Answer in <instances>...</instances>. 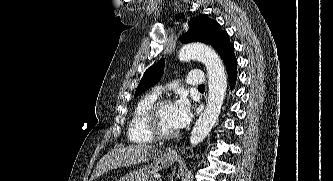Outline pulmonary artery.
<instances>
[{"mask_svg": "<svg viewBox=\"0 0 333 181\" xmlns=\"http://www.w3.org/2000/svg\"><path fill=\"white\" fill-rule=\"evenodd\" d=\"M204 74L201 71L191 72L187 76L186 83L190 86H198L201 85L204 82ZM163 88L158 87L156 89V93H161Z\"/></svg>", "mask_w": 333, "mask_h": 181, "instance_id": "pulmonary-artery-1", "label": "pulmonary artery"}]
</instances>
